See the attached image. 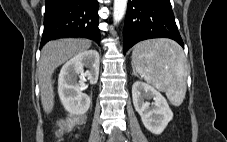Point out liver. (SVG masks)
Here are the masks:
<instances>
[{
	"mask_svg": "<svg viewBox=\"0 0 227 142\" xmlns=\"http://www.w3.org/2000/svg\"><path fill=\"white\" fill-rule=\"evenodd\" d=\"M90 47V40L66 38L50 41L42 48L37 73L41 104L45 113L49 114L54 107L52 74L55 69L77 54L87 51Z\"/></svg>",
	"mask_w": 227,
	"mask_h": 142,
	"instance_id": "liver-1",
	"label": "liver"
}]
</instances>
